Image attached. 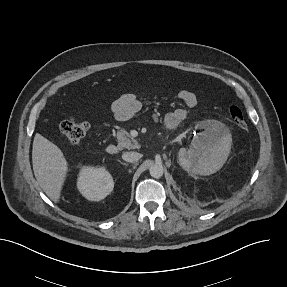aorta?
Listing matches in <instances>:
<instances>
[{
    "instance_id": "aorta-1",
    "label": "aorta",
    "mask_w": 287,
    "mask_h": 287,
    "mask_svg": "<svg viewBox=\"0 0 287 287\" xmlns=\"http://www.w3.org/2000/svg\"><path fill=\"white\" fill-rule=\"evenodd\" d=\"M149 172L152 177L160 178L164 173V169L161 164H154L150 167Z\"/></svg>"
}]
</instances>
